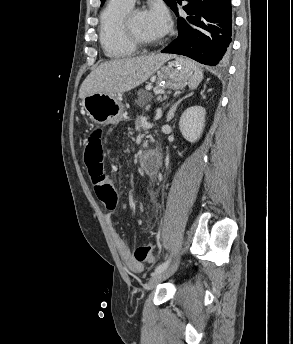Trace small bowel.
<instances>
[{
  "mask_svg": "<svg viewBox=\"0 0 293 344\" xmlns=\"http://www.w3.org/2000/svg\"><path fill=\"white\" fill-rule=\"evenodd\" d=\"M112 217H113V213H109L107 214L106 219H107L108 224L110 225L112 238L121 259L127 265V267L131 269L133 272L135 273L141 272L143 269V264L137 261L132 256L131 251L129 247L127 246L125 240L112 226Z\"/></svg>",
  "mask_w": 293,
  "mask_h": 344,
  "instance_id": "c3829d8e",
  "label": "small bowel"
}]
</instances>
